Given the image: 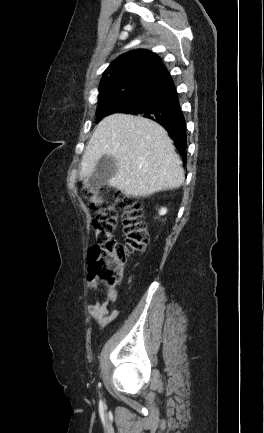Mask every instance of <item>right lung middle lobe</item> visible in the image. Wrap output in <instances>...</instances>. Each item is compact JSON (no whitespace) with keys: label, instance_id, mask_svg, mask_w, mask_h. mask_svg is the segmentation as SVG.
<instances>
[{"label":"right lung middle lobe","instance_id":"right-lung-middle-lobe-1","mask_svg":"<svg viewBox=\"0 0 264 433\" xmlns=\"http://www.w3.org/2000/svg\"><path fill=\"white\" fill-rule=\"evenodd\" d=\"M141 87H130L113 95L99 98L96 112L97 123L105 116L114 112H127L131 102L139 94Z\"/></svg>","mask_w":264,"mask_h":433}]
</instances>
